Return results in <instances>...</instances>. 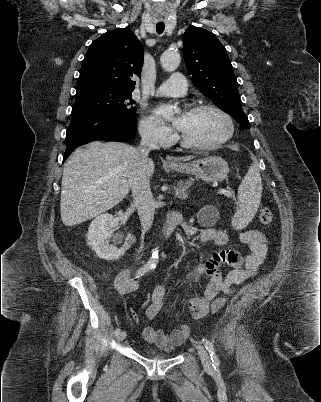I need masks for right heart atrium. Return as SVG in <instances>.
I'll list each match as a JSON object with an SVG mask.
<instances>
[{"instance_id":"obj_1","label":"right heart atrium","mask_w":321,"mask_h":402,"mask_svg":"<svg viewBox=\"0 0 321 402\" xmlns=\"http://www.w3.org/2000/svg\"><path fill=\"white\" fill-rule=\"evenodd\" d=\"M139 132L142 138L151 144L165 147L174 141V135L169 128L156 123L148 117H144L140 121Z\"/></svg>"}]
</instances>
